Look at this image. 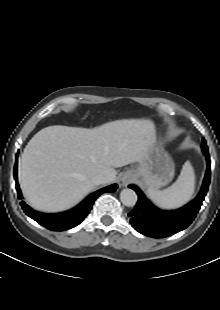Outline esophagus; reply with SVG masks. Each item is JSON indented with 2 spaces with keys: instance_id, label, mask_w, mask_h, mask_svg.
I'll return each instance as SVG.
<instances>
[{
  "instance_id": "obj_1",
  "label": "esophagus",
  "mask_w": 220,
  "mask_h": 310,
  "mask_svg": "<svg viewBox=\"0 0 220 310\" xmlns=\"http://www.w3.org/2000/svg\"><path fill=\"white\" fill-rule=\"evenodd\" d=\"M133 181V176L131 174H123L118 179V184L120 187H126L129 183Z\"/></svg>"
}]
</instances>
